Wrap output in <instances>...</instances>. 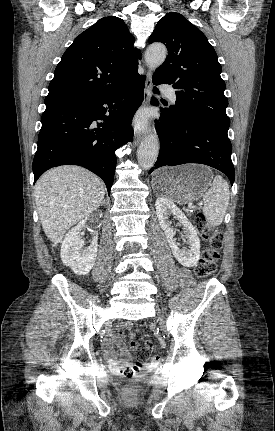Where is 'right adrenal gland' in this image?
Instances as JSON below:
<instances>
[{
	"mask_svg": "<svg viewBox=\"0 0 275 431\" xmlns=\"http://www.w3.org/2000/svg\"><path fill=\"white\" fill-rule=\"evenodd\" d=\"M103 205H105V201H103V203H102Z\"/></svg>",
	"mask_w": 275,
	"mask_h": 431,
	"instance_id": "right-adrenal-gland-1",
	"label": "right adrenal gland"
}]
</instances>
